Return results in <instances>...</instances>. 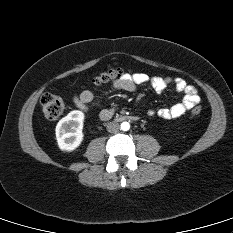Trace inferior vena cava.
Wrapping results in <instances>:
<instances>
[{"mask_svg":"<svg viewBox=\"0 0 233 233\" xmlns=\"http://www.w3.org/2000/svg\"><path fill=\"white\" fill-rule=\"evenodd\" d=\"M106 128L108 132L114 133L119 130L120 126L117 122H109L107 123Z\"/></svg>","mask_w":233,"mask_h":233,"instance_id":"inferior-vena-cava-1","label":"inferior vena cava"}]
</instances>
